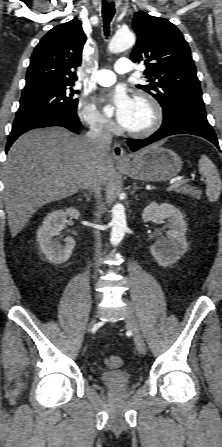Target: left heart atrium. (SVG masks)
Instances as JSON below:
<instances>
[{
    "mask_svg": "<svg viewBox=\"0 0 222 447\" xmlns=\"http://www.w3.org/2000/svg\"><path fill=\"white\" fill-rule=\"evenodd\" d=\"M118 123L127 128L134 111L135 100L125 90L117 89L109 97Z\"/></svg>",
    "mask_w": 222,
    "mask_h": 447,
    "instance_id": "39dd6f15",
    "label": "left heart atrium"
}]
</instances>
